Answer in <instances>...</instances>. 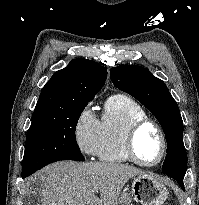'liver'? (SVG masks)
I'll use <instances>...</instances> for the list:
<instances>
[{
    "label": "liver",
    "instance_id": "liver-1",
    "mask_svg": "<svg viewBox=\"0 0 199 205\" xmlns=\"http://www.w3.org/2000/svg\"><path fill=\"white\" fill-rule=\"evenodd\" d=\"M140 174L144 172L126 164L61 161L42 169L33 180H39L42 205H112L125 183Z\"/></svg>",
    "mask_w": 199,
    "mask_h": 205
}]
</instances>
